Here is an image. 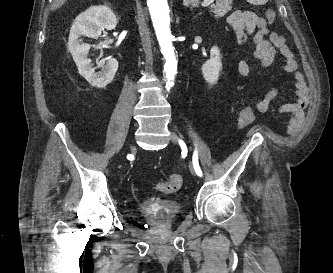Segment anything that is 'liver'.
Returning a JSON list of instances; mask_svg holds the SVG:
<instances>
[{
  "mask_svg": "<svg viewBox=\"0 0 333 273\" xmlns=\"http://www.w3.org/2000/svg\"><path fill=\"white\" fill-rule=\"evenodd\" d=\"M67 0H54L53 8H60Z\"/></svg>",
  "mask_w": 333,
  "mask_h": 273,
  "instance_id": "6515ba94",
  "label": "liver"
}]
</instances>
